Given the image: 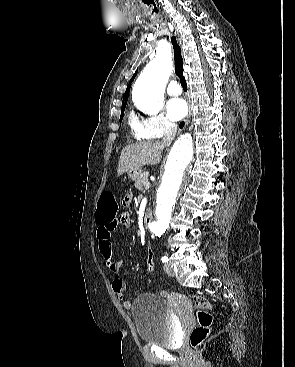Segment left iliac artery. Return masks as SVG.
Listing matches in <instances>:
<instances>
[{"instance_id":"1","label":"left iliac artery","mask_w":295,"mask_h":367,"mask_svg":"<svg viewBox=\"0 0 295 367\" xmlns=\"http://www.w3.org/2000/svg\"><path fill=\"white\" fill-rule=\"evenodd\" d=\"M161 261H162L163 263H166V262H168V261H169V259H168V257L163 256V257L161 258Z\"/></svg>"}]
</instances>
